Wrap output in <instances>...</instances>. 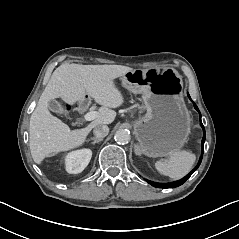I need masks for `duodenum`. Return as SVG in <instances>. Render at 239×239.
I'll return each instance as SVG.
<instances>
[{
    "mask_svg": "<svg viewBox=\"0 0 239 239\" xmlns=\"http://www.w3.org/2000/svg\"><path fill=\"white\" fill-rule=\"evenodd\" d=\"M89 106V100L87 98H83L79 103V109L85 111Z\"/></svg>",
    "mask_w": 239,
    "mask_h": 239,
    "instance_id": "duodenum-1",
    "label": "duodenum"
}]
</instances>
